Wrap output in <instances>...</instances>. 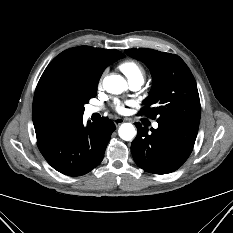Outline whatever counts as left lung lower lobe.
I'll use <instances>...</instances> for the list:
<instances>
[{"label": "left lung lower lobe", "instance_id": "1", "mask_svg": "<svg viewBox=\"0 0 233 233\" xmlns=\"http://www.w3.org/2000/svg\"><path fill=\"white\" fill-rule=\"evenodd\" d=\"M137 136L131 151L136 164L153 174H167L177 170L192 152L199 123L187 121L159 122L157 129L135 123Z\"/></svg>", "mask_w": 233, "mask_h": 233}]
</instances>
